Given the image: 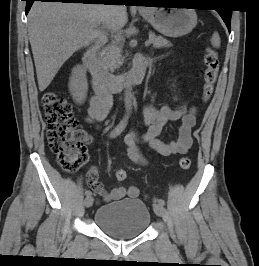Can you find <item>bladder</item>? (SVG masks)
<instances>
[{
    "mask_svg": "<svg viewBox=\"0 0 259 266\" xmlns=\"http://www.w3.org/2000/svg\"><path fill=\"white\" fill-rule=\"evenodd\" d=\"M93 219L95 224L109 236L131 239L148 228L150 211L140 199H124L98 207Z\"/></svg>",
    "mask_w": 259,
    "mask_h": 266,
    "instance_id": "1",
    "label": "bladder"
}]
</instances>
